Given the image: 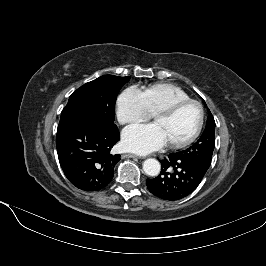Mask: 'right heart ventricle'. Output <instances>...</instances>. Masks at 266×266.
Returning <instances> with one entry per match:
<instances>
[{"label":"right heart ventricle","mask_w":266,"mask_h":266,"mask_svg":"<svg viewBox=\"0 0 266 266\" xmlns=\"http://www.w3.org/2000/svg\"><path fill=\"white\" fill-rule=\"evenodd\" d=\"M141 92L150 114H154L174 102L189 99L187 93L180 87L169 83L153 84L145 87Z\"/></svg>","instance_id":"obj_1"}]
</instances>
